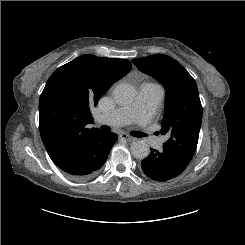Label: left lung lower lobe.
<instances>
[{
	"label": "left lung lower lobe",
	"mask_w": 245,
	"mask_h": 245,
	"mask_svg": "<svg viewBox=\"0 0 245 245\" xmlns=\"http://www.w3.org/2000/svg\"><path fill=\"white\" fill-rule=\"evenodd\" d=\"M190 159L163 145V150L151 149L148 157L142 160L143 172L155 181H167L180 175L190 163Z\"/></svg>",
	"instance_id": "left-lung-lower-lobe-1"
}]
</instances>
